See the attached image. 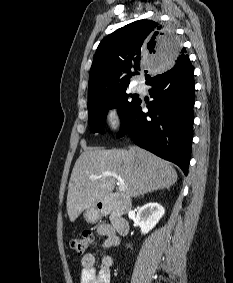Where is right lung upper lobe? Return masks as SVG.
Segmentation results:
<instances>
[{
    "mask_svg": "<svg viewBox=\"0 0 233 283\" xmlns=\"http://www.w3.org/2000/svg\"><path fill=\"white\" fill-rule=\"evenodd\" d=\"M186 55L189 50L181 49L174 32L158 22L142 19L117 29L96 50L89 74L88 107L126 90L136 70H145L147 83ZM148 70L156 72L148 75Z\"/></svg>",
    "mask_w": 233,
    "mask_h": 283,
    "instance_id": "1",
    "label": "right lung upper lobe"
}]
</instances>
